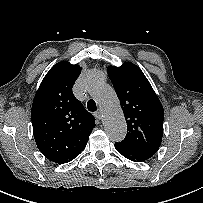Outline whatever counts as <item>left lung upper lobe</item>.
I'll use <instances>...</instances> for the list:
<instances>
[{"label": "left lung upper lobe", "instance_id": "left-lung-upper-lobe-1", "mask_svg": "<svg viewBox=\"0 0 203 203\" xmlns=\"http://www.w3.org/2000/svg\"><path fill=\"white\" fill-rule=\"evenodd\" d=\"M107 71L127 122V135L122 143L153 156L163 136L164 110L158 96L133 63L109 66Z\"/></svg>", "mask_w": 203, "mask_h": 203}]
</instances>
